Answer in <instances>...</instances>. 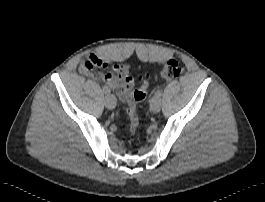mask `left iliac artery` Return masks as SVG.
<instances>
[{
    "instance_id": "obj_1",
    "label": "left iliac artery",
    "mask_w": 265,
    "mask_h": 202,
    "mask_svg": "<svg viewBox=\"0 0 265 202\" xmlns=\"http://www.w3.org/2000/svg\"><path fill=\"white\" fill-rule=\"evenodd\" d=\"M155 96L160 98L162 96V91L161 90H158L156 93H155ZM152 100V99H151Z\"/></svg>"
}]
</instances>
